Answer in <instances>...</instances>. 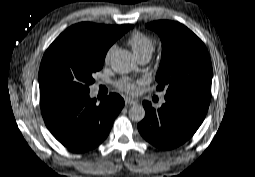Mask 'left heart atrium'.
Masks as SVG:
<instances>
[{
	"instance_id": "obj_1",
	"label": "left heart atrium",
	"mask_w": 255,
	"mask_h": 177,
	"mask_svg": "<svg viewBox=\"0 0 255 177\" xmlns=\"http://www.w3.org/2000/svg\"><path fill=\"white\" fill-rule=\"evenodd\" d=\"M116 86L119 90L129 94L137 92L136 83L130 80H121L116 84Z\"/></svg>"
}]
</instances>
